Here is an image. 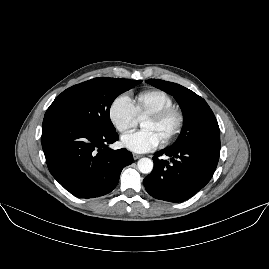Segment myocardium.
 I'll return each instance as SVG.
<instances>
[{"label": "myocardium", "mask_w": 269, "mask_h": 269, "mask_svg": "<svg viewBox=\"0 0 269 269\" xmlns=\"http://www.w3.org/2000/svg\"><path fill=\"white\" fill-rule=\"evenodd\" d=\"M147 117H155L159 119H165L168 117H173L176 121L175 128L171 133L167 141L161 144L162 148H168L172 146L181 136L184 126H185V116L184 113L177 107L171 106L159 110H155L147 115Z\"/></svg>", "instance_id": "f54148a6"}]
</instances>
